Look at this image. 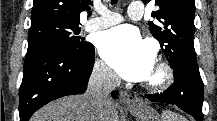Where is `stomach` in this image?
<instances>
[{
  "instance_id": "stomach-1",
  "label": "stomach",
  "mask_w": 217,
  "mask_h": 121,
  "mask_svg": "<svg viewBox=\"0 0 217 121\" xmlns=\"http://www.w3.org/2000/svg\"><path fill=\"white\" fill-rule=\"evenodd\" d=\"M128 111L138 121H162L158 112L147 104L140 103L135 107L128 108Z\"/></svg>"
}]
</instances>
